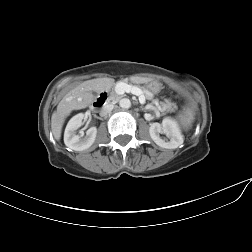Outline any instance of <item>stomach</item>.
Listing matches in <instances>:
<instances>
[{
	"label": "stomach",
	"instance_id": "obj_1",
	"mask_svg": "<svg viewBox=\"0 0 252 252\" xmlns=\"http://www.w3.org/2000/svg\"><path fill=\"white\" fill-rule=\"evenodd\" d=\"M149 91L153 92V93H157L161 90L162 85L160 82L156 81V80H152L149 82H146V86H145Z\"/></svg>",
	"mask_w": 252,
	"mask_h": 252
}]
</instances>
